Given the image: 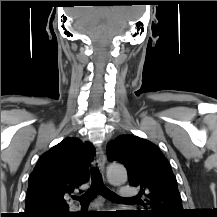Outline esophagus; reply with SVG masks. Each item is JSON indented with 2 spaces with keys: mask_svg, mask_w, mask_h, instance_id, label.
Returning <instances> with one entry per match:
<instances>
[{
  "mask_svg": "<svg viewBox=\"0 0 217 217\" xmlns=\"http://www.w3.org/2000/svg\"><path fill=\"white\" fill-rule=\"evenodd\" d=\"M105 162H106V156L104 153V150L101 146H98L97 152H96V160L94 162V165L98 167L99 171L103 174L105 170Z\"/></svg>",
  "mask_w": 217,
  "mask_h": 217,
  "instance_id": "1",
  "label": "esophagus"
}]
</instances>
